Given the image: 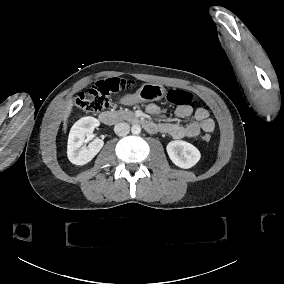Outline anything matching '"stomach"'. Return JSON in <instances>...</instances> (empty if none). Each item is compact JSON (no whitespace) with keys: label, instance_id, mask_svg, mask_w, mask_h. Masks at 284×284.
Wrapping results in <instances>:
<instances>
[{"label":"stomach","instance_id":"obj_1","mask_svg":"<svg viewBox=\"0 0 284 284\" xmlns=\"http://www.w3.org/2000/svg\"><path fill=\"white\" fill-rule=\"evenodd\" d=\"M165 88L160 84L145 83L134 94H127L121 98L123 105H135L141 102L157 101L164 97Z\"/></svg>","mask_w":284,"mask_h":284}]
</instances>
